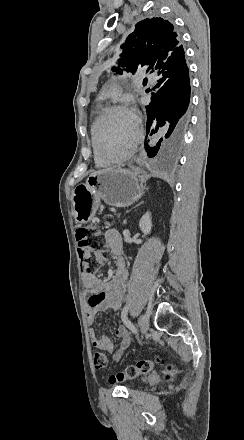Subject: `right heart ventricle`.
<instances>
[{"mask_svg": "<svg viewBox=\"0 0 244 440\" xmlns=\"http://www.w3.org/2000/svg\"><path fill=\"white\" fill-rule=\"evenodd\" d=\"M103 111H104V109H103L102 105L99 103L98 104V114H97V116H96V118H95V120H94V122L92 124V127H91V144H92V147L94 149H95V145L94 144H95V142H97V141H95V136H96L95 134L98 132L97 131L98 130L97 129V126H98L97 124L99 122H102ZM102 134H104V133L102 132L101 135ZM100 149H102L101 146H100ZM95 162H96V166L99 167V168H104V167H108V166L111 165V161L110 160H105V159L101 158L98 155L97 152L95 154Z\"/></svg>", "mask_w": 244, "mask_h": 440, "instance_id": "e07e8e85", "label": "right heart ventricle"}]
</instances>
